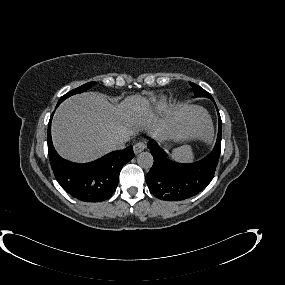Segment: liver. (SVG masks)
I'll list each match as a JSON object with an SVG mask.
<instances>
[{"label": "liver", "mask_w": 285, "mask_h": 285, "mask_svg": "<svg viewBox=\"0 0 285 285\" xmlns=\"http://www.w3.org/2000/svg\"><path fill=\"white\" fill-rule=\"evenodd\" d=\"M203 112L199 106L182 105L169 116L158 118L141 96L127 97L114 106L102 94L84 93L58 107L52 121V140L63 158L89 162L110 152L111 140L129 138L143 129L159 139H192L205 127L200 123Z\"/></svg>", "instance_id": "obj_1"}]
</instances>
